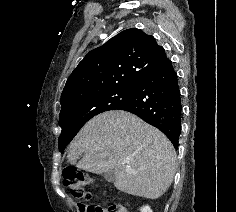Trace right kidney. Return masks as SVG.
<instances>
[{"instance_id":"obj_1","label":"right kidney","mask_w":236,"mask_h":212,"mask_svg":"<svg viewBox=\"0 0 236 212\" xmlns=\"http://www.w3.org/2000/svg\"><path fill=\"white\" fill-rule=\"evenodd\" d=\"M140 212H153L149 206H143L141 209H140Z\"/></svg>"}]
</instances>
